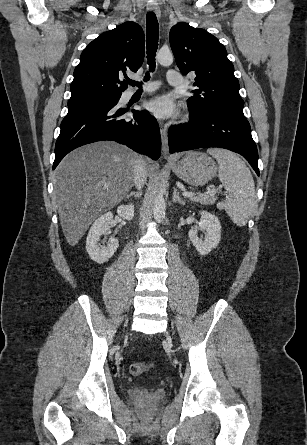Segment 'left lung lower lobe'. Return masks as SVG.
<instances>
[{
	"mask_svg": "<svg viewBox=\"0 0 307 445\" xmlns=\"http://www.w3.org/2000/svg\"><path fill=\"white\" fill-rule=\"evenodd\" d=\"M170 153L203 147L229 149L244 156L259 176L258 152L250 124L242 115L215 112L188 123L172 126L168 134Z\"/></svg>",
	"mask_w": 307,
	"mask_h": 445,
	"instance_id": "1",
	"label": "left lung lower lobe"
}]
</instances>
